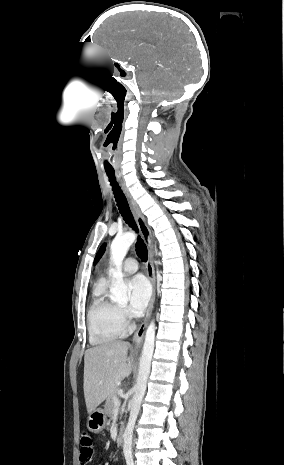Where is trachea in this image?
Segmentation results:
<instances>
[{
  "label": "trachea",
  "mask_w": 284,
  "mask_h": 465,
  "mask_svg": "<svg viewBox=\"0 0 284 465\" xmlns=\"http://www.w3.org/2000/svg\"><path fill=\"white\" fill-rule=\"evenodd\" d=\"M106 174L109 177V181L113 187V193L117 202V206L123 219L130 227H132V229L137 231L138 228L130 211L127 199L120 189L118 183L116 182L115 171L113 169H106ZM135 246L138 257H140L143 262H146L148 258V252L143 240L139 238Z\"/></svg>",
  "instance_id": "trachea-1"
}]
</instances>
